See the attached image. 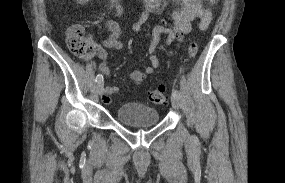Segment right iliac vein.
I'll use <instances>...</instances> for the list:
<instances>
[{"instance_id": "1", "label": "right iliac vein", "mask_w": 285, "mask_h": 183, "mask_svg": "<svg viewBox=\"0 0 285 183\" xmlns=\"http://www.w3.org/2000/svg\"><path fill=\"white\" fill-rule=\"evenodd\" d=\"M96 88L99 94H102V89H103V81L97 82Z\"/></svg>"}]
</instances>
